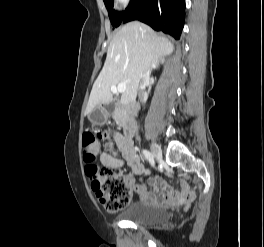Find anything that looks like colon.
Segmentation results:
<instances>
[{
	"instance_id": "5ec220e1",
	"label": "colon",
	"mask_w": 264,
	"mask_h": 247,
	"mask_svg": "<svg viewBox=\"0 0 264 247\" xmlns=\"http://www.w3.org/2000/svg\"><path fill=\"white\" fill-rule=\"evenodd\" d=\"M105 141L108 150L113 149L109 131H99L96 136L86 134L83 138L84 160L86 173L89 176L92 191L108 212L125 209L131 201V190L121 172L113 168H101L96 164L98 151L94 145L95 139Z\"/></svg>"
}]
</instances>
